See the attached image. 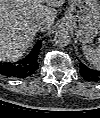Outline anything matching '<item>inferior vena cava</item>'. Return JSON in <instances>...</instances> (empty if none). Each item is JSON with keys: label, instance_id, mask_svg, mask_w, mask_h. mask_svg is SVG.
<instances>
[{"label": "inferior vena cava", "instance_id": "1", "mask_svg": "<svg viewBox=\"0 0 100 118\" xmlns=\"http://www.w3.org/2000/svg\"><path fill=\"white\" fill-rule=\"evenodd\" d=\"M33 30L35 32H39V31L45 32L46 30H48V26L44 24L43 22H38L33 25Z\"/></svg>", "mask_w": 100, "mask_h": 118}]
</instances>
